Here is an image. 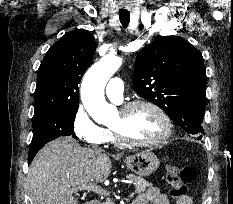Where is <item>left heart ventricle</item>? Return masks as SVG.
Returning <instances> with one entry per match:
<instances>
[{
	"mask_svg": "<svg viewBox=\"0 0 233 204\" xmlns=\"http://www.w3.org/2000/svg\"><path fill=\"white\" fill-rule=\"evenodd\" d=\"M111 126L133 141L153 140L164 132V123L160 117L144 106L136 107L125 115L118 112Z\"/></svg>",
	"mask_w": 233,
	"mask_h": 204,
	"instance_id": "left-heart-ventricle-1",
	"label": "left heart ventricle"
}]
</instances>
